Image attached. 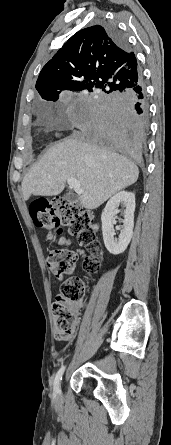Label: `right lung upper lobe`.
Wrapping results in <instances>:
<instances>
[{
    "label": "right lung upper lobe",
    "mask_w": 171,
    "mask_h": 445,
    "mask_svg": "<svg viewBox=\"0 0 171 445\" xmlns=\"http://www.w3.org/2000/svg\"><path fill=\"white\" fill-rule=\"evenodd\" d=\"M142 82L137 60L127 46L119 45L106 27L95 25L75 33L43 67L36 89L56 101L62 90L122 94Z\"/></svg>",
    "instance_id": "1"
}]
</instances>
